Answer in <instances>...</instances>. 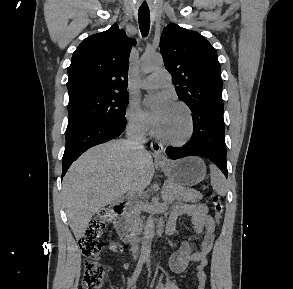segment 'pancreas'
<instances>
[{
    "label": "pancreas",
    "instance_id": "pancreas-1",
    "mask_svg": "<svg viewBox=\"0 0 293 289\" xmlns=\"http://www.w3.org/2000/svg\"><path fill=\"white\" fill-rule=\"evenodd\" d=\"M166 202L183 200L185 202H197L203 198L202 194L194 189H189L167 181L162 191Z\"/></svg>",
    "mask_w": 293,
    "mask_h": 289
}]
</instances>
